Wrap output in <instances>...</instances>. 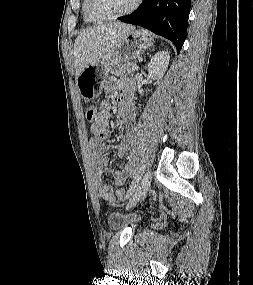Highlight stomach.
Returning a JSON list of instances; mask_svg holds the SVG:
<instances>
[{"instance_id":"stomach-1","label":"stomach","mask_w":253,"mask_h":285,"mask_svg":"<svg viewBox=\"0 0 253 285\" xmlns=\"http://www.w3.org/2000/svg\"><path fill=\"white\" fill-rule=\"evenodd\" d=\"M152 44L153 37L149 31L140 28L128 31L116 45L76 78L81 97L86 101L99 97L111 68L135 60Z\"/></svg>"}]
</instances>
